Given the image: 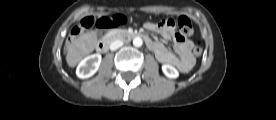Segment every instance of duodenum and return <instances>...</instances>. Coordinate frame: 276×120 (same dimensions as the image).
Instances as JSON below:
<instances>
[{
	"mask_svg": "<svg viewBox=\"0 0 276 120\" xmlns=\"http://www.w3.org/2000/svg\"><path fill=\"white\" fill-rule=\"evenodd\" d=\"M127 38H143L146 43L148 44L149 43V40H148V37L145 36L144 34H137V33H132V34H123V33H115V34H112L110 35L108 38L104 39V40H101L97 43V50L99 52H107L109 47H110V44L117 40V39H127Z\"/></svg>",
	"mask_w": 276,
	"mask_h": 120,
	"instance_id": "duodenum-1",
	"label": "duodenum"
}]
</instances>
